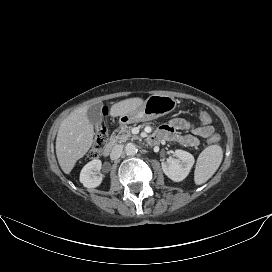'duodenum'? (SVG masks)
<instances>
[{
	"label": "duodenum",
	"mask_w": 272,
	"mask_h": 272,
	"mask_svg": "<svg viewBox=\"0 0 272 272\" xmlns=\"http://www.w3.org/2000/svg\"><path fill=\"white\" fill-rule=\"evenodd\" d=\"M113 146H114V140H111V141L107 144V146L104 148L103 154H104L105 156H108V155L110 154V152H111Z\"/></svg>",
	"instance_id": "1"
}]
</instances>
